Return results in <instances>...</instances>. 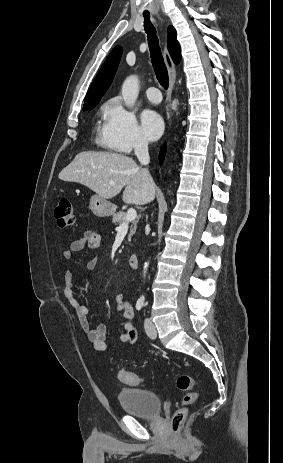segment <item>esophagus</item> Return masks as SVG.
<instances>
[{"instance_id":"34e87169","label":"esophagus","mask_w":283,"mask_h":463,"mask_svg":"<svg viewBox=\"0 0 283 463\" xmlns=\"http://www.w3.org/2000/svg\"><path fill=\"white\" fill-rule=\"evenodd\" d=\"M164 59H165V63H166V66L168 69V75H169L168 97H169V102L171 103L172 91H173L175 80H176V65L172 61L169 51L166 46L164 47Z\"/></svg>"}]
</instances>
